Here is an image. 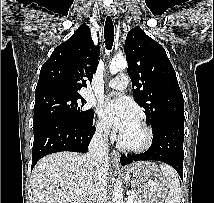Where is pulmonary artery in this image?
<instances>
[{
    "instance_id": "obj_1",
    "label": "pulmonary artery",
    "mask_w": 214,
    "mask_h": 203,
    "mask_svg": "<svg viewBox=\"0 0 214 203\" xmlns=\"http://www.w3.org/2000/svg\"><path fill=\"white\" fill-rule=\"evenodd\" d=\"M128 83H129L128 76L126 74H120V75L116 76L115 78L111 79L107 83V86L109 88L122 91L127 87Z\"/></svg>"
}]
</instances>
